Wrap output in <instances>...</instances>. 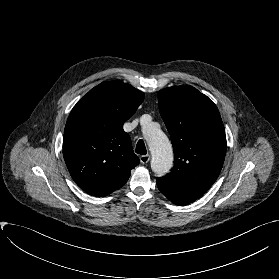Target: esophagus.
Here are the masks:
<instances>
[{"instance_id":"1","label":"esophagus","mask_w":279,"mask_h":279,"mask_svg":"<svg viewBox=\"0 0 279 279\" xmlns=\"http://www.w3.org/2000/svg\"><path fill=\"white\" fill-rule=\"evenodd\" d=\"M149 160H150V155H148V154L140 156V162L142 164L148 163Z\"/></svg>"}]
</instances>
